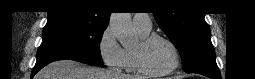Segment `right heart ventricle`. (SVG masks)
I'll return each mask as SVG.
<instances>
[{"instance_id": "e07e8e85", "label": "right heart ventricle", "mask_w": 255, "mask_h": 79, "mask_svg": "<svg viewBox=\"0 0 255 79\" xmlns=\"http://www.w3.org/2000/svg\"><path fill=\"white\" fill-rule=\"evenodd\" d=\"M136 33L137 35L142 39L145 38L146 36H148L150 34V30H143L140 28H136ZM134 49L135 48H125L124 49V53H125V69L126 72L128 73H138V69L136 67V63H135V56H134Z\"/></svg>"}]
</instances>
